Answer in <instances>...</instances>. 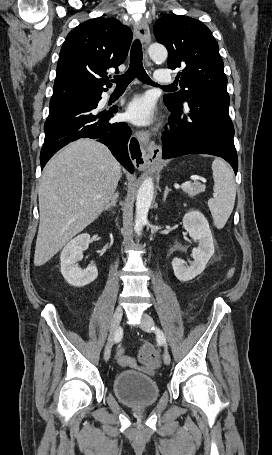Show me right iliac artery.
Masks as SVG:
<instances>
[{"label":"right iliac artery","instance_id":"1","mask_svg":"<svg viewBox=\"0 0 272 455\" xmlns=\"http://www.w3.org/2000/svg\"><path fill=\"white\" fill-rule=\"evenodd\" d=\"M122 335H123L122 329H121V328H118L117 331H116V333H115L114 340L117 341V342L120 341L121 338H122Z\"/></svg>","mask_w":272,"mask_h":455}]
</instances>
